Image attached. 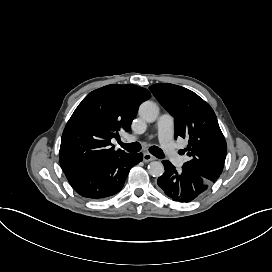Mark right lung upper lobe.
I'll use <instances>...</instances> for the list:
<instances>
[{"label": "right lung upper lobe", "instance_id": "right-lung-upper-lobe-1", "mask_svg": "<svg viewBox=\"0 0 272 272\" xmlns=\"http://www.w3.org/2000/svg\"><path fill=\"white\" fill-rule=\"evenodd\" d=\"M150 97L136 85H107L89 93L62 134L59 158L64 173L123 154L110 140L119 137V131H130L139 105Z\"/></svg>", "mask_w": 272, "mask_h": 272}]
</instances>
